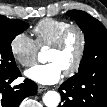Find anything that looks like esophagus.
I'll list each match as a JSON object with an SVG mask.
<instances>
[{"label": "esophagus", "mask_w": 107, "mask_h": 107, "mask_svg": "<svg viewBox=\"0 0 107 107\" xmlns=\"http://www.w3.org/2000/svg\"><path fill=\"white\" fill-rule=\"evenodd\" d=\"M46 90H48V87L43 86V85H38L37 91H38L39 93H41V92H43V91H46Z\"/></svg>", "instance_id": "esophagus-1"}]
</instances>
